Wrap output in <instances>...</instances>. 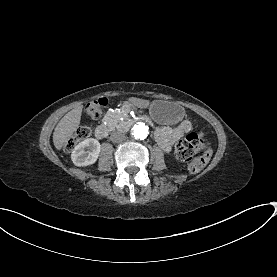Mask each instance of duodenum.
Here are the masks:
<instances>
[{"label": "duodenum", "mask_w": 277, "mask_h": 277, "mask_svg": "<svg viewBox=\"0 0 277 277\" xmlns=\"http://www.w3.org/2000/svg\"><path fill=\"white\" fill-rule=\"evenodd\" d=\"M145 120H147L146 118H143ZM138 119H135V118H127L125 120H123L122 122H120L118 128L120 130H126L128 129L130 126H132V124ZM109 133V127L107 125H99L97 128H96V131H95V135L97 138L99 139H103L105 138Z\"/></svg>", "instance_id": "obj_1"}]
</instances>
